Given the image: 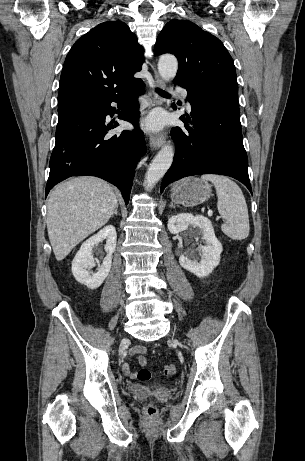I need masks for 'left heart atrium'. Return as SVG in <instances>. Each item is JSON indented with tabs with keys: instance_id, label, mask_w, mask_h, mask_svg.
<instances>
[{
	"instance_id": "39dd6f15",
	"label": "left heart atrium",
	"mask_w": 305,
	"mask_h": 461,
	"mask_svg": "<svg viewBox=\"0 0 305 461\" xmlns=\"http://www.w3.org/2000/svg\"><path fill=\"white\" fill-rule=\"evenodd\" d=\"M163 125V119L159 115H152L149 117L145 123L147 129L156 131L160 129Z\"/></svg>"
}]
</instances>
